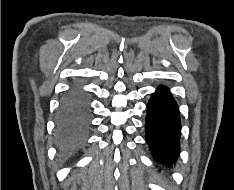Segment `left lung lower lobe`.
<instances>
[{
    "mask_svg": "<svg viewBox=\"0 0 234 190\" xmlns=\"http://www.w3.org/2000/svg\"><path fill=\"white\" fill-rule=\"evenodd\" d=\"M146 141L161 164L179 156L181 122L179 108L169 89L159 86L147 104Z\"/></svg>",
    "mask_w": 234,
    "mask_h": 190,
    "instance_id": "1",
    "label": "left lung lower lobe"
}]
</instances>
